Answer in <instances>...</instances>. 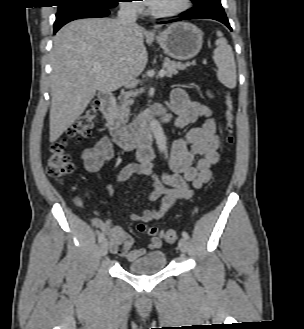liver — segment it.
<instances>
[{"label":"liver","mask_w":304,"mask_h":329,"mask_svg":"<svg viewBox=\"0 0 304 329\" xmlns=\"http://www.w3.org/2000/svg\"><path fill=\"white\" fill-rule=\"evenodd\" d=\"M142 29H124L116 19H79L62 27L51 51L49 141L55 142L84 112L96 91L111 92L145 69ZM100 63L96 72L91 63Z\"/></svg>","instance_id":"liver-1"}]
</instances>
